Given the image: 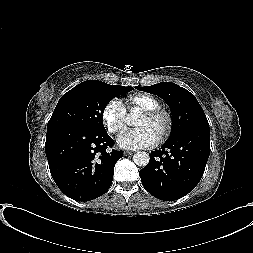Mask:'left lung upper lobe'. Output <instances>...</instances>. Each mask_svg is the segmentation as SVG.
I'll list each match as a JSON object with an SVG mask.
<instances>
[{"mask_svg": "<svg viewBox=\"0 0 253 253\" xmlns=\"http://www.w3.org/2000/svg\"><path fill=\"white\" fill-rule=\"evenodd\" d=\"M136 89L157 95L167 103L173 120L170 137L189 129L209 131V123L202 107L195 96L185 88L171 82H161Z\"/></svg>", "mask_w": 253, "mask_h": 253, "instance_id": "obj_1", "label": "left lung upper lobe"}]
</instances>
